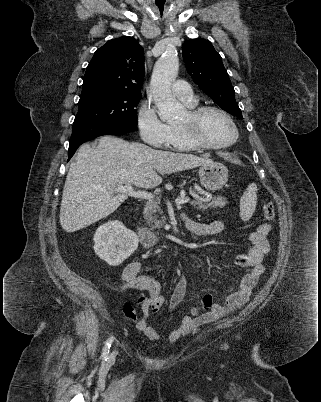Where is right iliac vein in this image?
<instances>
[{
	"label": "right iliac vein",
	"instance_id": "63e3f726",
	"mask_svg": "<svg viewBox=\"0 0 321 402\" xmlns=\"http://www.w3.org/2000/svg\"><path fill=\"white\" fill-rule=\"evenodd\" d=\"M116 358V351L113 350L109 355V362H113Z\"/></svg>",
	"mask_w": 321,
	"mask_h": 402
}]
</instances>
